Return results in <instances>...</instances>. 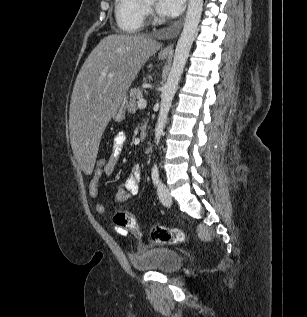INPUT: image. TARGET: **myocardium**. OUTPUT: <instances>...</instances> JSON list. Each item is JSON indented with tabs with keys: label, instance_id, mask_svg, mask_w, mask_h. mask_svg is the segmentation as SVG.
<instances>
[{
	"label": "myocardium",
	"instance_id": "f54148a6",
	"mask_svg": "<svg viewBox=\"0 0 307 317\" xmlns=\"http://www.w3.org/2000/svg\"><path fill=\"white\" fill-rule=\"evenodd\" d=\"M143 3H144V6H145L146 11H147L150 15H153L152 5H151L147 0H143Z\"/></svg>",
	"mask_w": 307,
	"mask_h": 317
}]
</instances>
